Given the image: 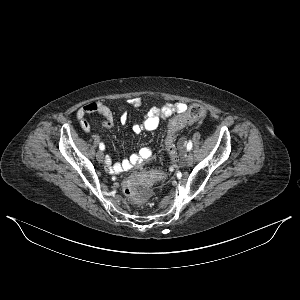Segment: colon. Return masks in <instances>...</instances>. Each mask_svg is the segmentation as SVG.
<instances>
[{
    "instance_id": "1",
    "label": "colon",
    "mask_w": 300,
    "mask_h": 300,
    "mask_svg": "<svg viewBox=\"0 0 300 300\" xmlns=\"http://www.w3.org/2000/svg\"><path fill=\"white\" fill-rule=\"evenodd\" d=\"M206 115V109L200 104H193L188 109L176 115L171 123L170 132L165 138L164 144L171 157L174 159L176 151L174 148L175 132L179 129L201 120ZM173 173L171 166H166L164 170L157 172H146L137 174L128 179L124 184V191L127 197L134 203H142L150 194L149 183L152 181L157 183L160 179L170 178Z\"/></svg>"
}]
</instances>
